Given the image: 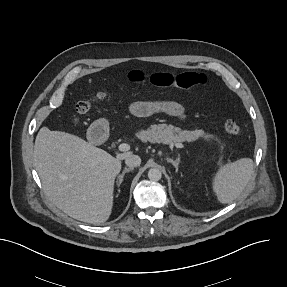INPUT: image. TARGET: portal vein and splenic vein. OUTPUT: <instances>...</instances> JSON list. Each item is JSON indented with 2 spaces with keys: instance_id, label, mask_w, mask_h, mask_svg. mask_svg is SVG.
<instances>
[{
  "instance_id": "portal-vein-and-splenic-vein-1",
  "label": "portal vein and splenic vein",
  "mask_w": 287,
  "mask_h": 287,
  "mask_svg": "<svg viewBox=\"0 0 287 287\" xmlns=\"http://www.w3.org/2000/svg\"><path fill=\"white\" fill-rule=\"evenodd\" d=\"M174 146L176 147V148H183L184 147V145L182 144V143H174ZM118 149L120 150V151H122V152H126V151H128L129 149H130V146L128 145V144H126V143H122V144H120L119 146H118Z\"/></svg>"
}]
</instances>
